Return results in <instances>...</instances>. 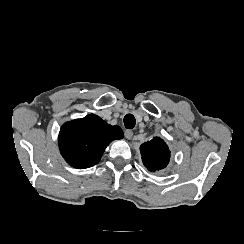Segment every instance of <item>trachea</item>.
<instances>
[{
    "instance_id": "obj_1",
    "label": "trachea",
    "mask_w": 244,
    "mask_h": 244,
    "mask_svg": "<svg viewBox=\"0 0 244 244\" xmlns=\"http://www.w3.org/2000/svg\"><path fill=\"white\" fill-rule=\"evenodd\" d=\"M136 120L135 117L132 114H127L124 117V126L127 129H133L135 127Z\"/></svg>"
}]
</instances>
